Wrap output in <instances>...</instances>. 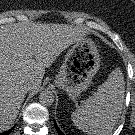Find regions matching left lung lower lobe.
Wrapping results in <instances>:
<instances>
[{
  "instance_id": "left-lung-lower-lobe-1",
  "label": "left lung lower lobe",
  "mask_w": 135,
  "mask_h": 135,
  "mask_svg": "<svg viewBox=\"0 0 135 135\" xmlns=\"http://www.w3.org/2000/svg\"><path fill=\"white\" fill-rule=\"evenodd\" d=\"M54 124H55V128H56L58 134H59V135H64V134L62 133V131L58 128L57 124H56V123H54Z\"/></svg>"
}]
</instances>
